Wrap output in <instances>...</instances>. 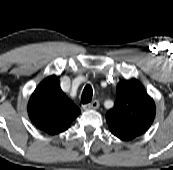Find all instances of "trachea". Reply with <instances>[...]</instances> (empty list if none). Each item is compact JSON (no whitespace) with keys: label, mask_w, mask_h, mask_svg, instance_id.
Segmentation results:
<instances>
[{"label":"trachea","mask_w":173,"mask_h":170,"mask_svg":"<svg viewBox=\"0 0 173 170\" xmlns=\"http://www.w3.org/2000/svg\"><path fill=\"white\" fill-rule=\"evenodd\" d=\"M93 96V89L91 85H86L82 92V103L87 104L91 102Z\"/></svg>","instance_id":"obj_1"}]
</instances>
